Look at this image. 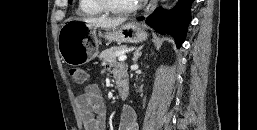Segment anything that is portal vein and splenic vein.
Here are the masks:
<instances>
[{
  "label": "portal vein and splenic vein",
  "instance_id": "obj_1",
  "mask_svg": "<svg viewBox=\"0 0 257 130\" xmlns=\"http://www.w3.org/2000/svg\"><path fill=\"white\" fill-rule=\"evenodd\" d=\"M127 59V56L124 54V52L118 54V60L120 62L125 61Z\"/></svg>",
  "mask_w": 257,
  "mask_h": 130
}]
</instances>
